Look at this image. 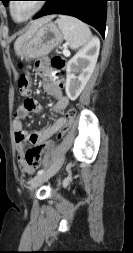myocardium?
<instances>
[{
	"label": "myocardium",
	"instance_id": "obj_1",
	"mask_svg": "<svg viewBox=\"0 0 133 253\" xmlns=\"http://www.w3.org/2000/svg\"><path fill=\"white\" fill-rule=\"evenodd\" d=\"M13 2L14 1L9 2L8 9H9V13H10L12 19L17 23H23V22L28 21L29 19L34 17L44 6L43 0L36 1L37 4L34 7V9L26 17L18 20V19L15 18L14 13H13V8H12Z\"/></svg>",
	"mask_w": 133,
	"mask_h": 253
}]
</instances>
